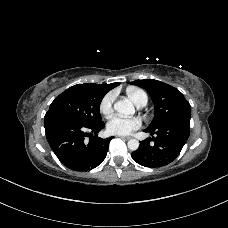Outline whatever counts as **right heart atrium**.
Segmentation results:
<instances>
[{
	"mask_svg": "<svg viewBox=\"0 0 228 228\" xmlns=\"http://www.w3.org/2000/svg\"><path fill=\"white\" fill-rule=\"evenodd\" d=\"M114 101H115L114 92H108L107 94H105L99 104L100 112L105 116H109L113 111Z\"/></svg>",
	"mask_w": 228,
	"mask_h": 228,
	"instance_id": "d8ad5b80",
	"label": "right heart atrium"
}]
</instances>
